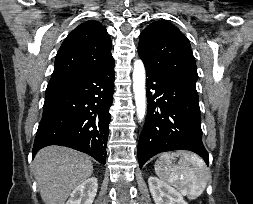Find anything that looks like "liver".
Masks as SVG:
<instances>
[{
  "label": "liver",
  "instance_id": "obj_1",
  "mask_svg": "<svg viewBox=\"0 0 253 204\" xmlns=\"http://www.w3.org/2000/svg\"><path fill=\"white\" fill-rule=\"evenodd\" d=\"M32 169L45 204H65L78 185L93 173L89 156L61 146H48L35 156Z\"/></svg>",
  "mask_w": 253,
  "mask_h": 204
}]
</instances>
